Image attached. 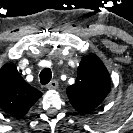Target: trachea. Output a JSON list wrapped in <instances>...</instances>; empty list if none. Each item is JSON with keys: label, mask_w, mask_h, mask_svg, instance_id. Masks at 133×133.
Instances as JSON below:
<instances>
[{"label": "trachea", "mask_w": 133, "mask_h": 133, "mask_svg": "<svg viewBox=\"0 0 133 133\" xmlns=\"http://www.w3.org/2000/svg\"><path fill=\"white\" fill-rule=\"evenodd\" d=\"M52 78V73L49 68H45L40 73V82L42 85H46L50 82Z\"/></svg>", "instance_id": "trachea-1"}]
</instances>
